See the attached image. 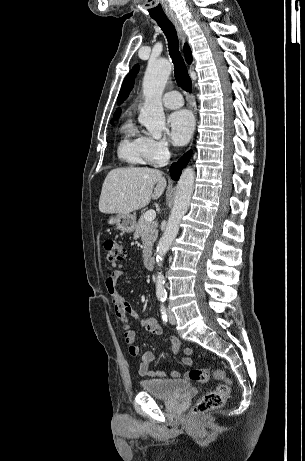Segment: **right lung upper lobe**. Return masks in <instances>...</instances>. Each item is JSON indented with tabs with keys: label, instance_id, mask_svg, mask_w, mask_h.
<instances>
[{
	"label": "right lung upper lobe",
	"instance_id": "cb5924a9",
	"mask_svg": "<svg viewBox=\"0 0 305 461\" xmlns=\"http://www.w3.org/2000/svg\"><path fill=\"white\" fill-rule=\"evenodd\" d=\"M184 54H185V58H186L187 63L190 64L192 62V54H191V50H190V48H189V46L187 44L184 45ZM120 113H121V110L117 109V111L114 113L113 120H117L119 118V116H120Z\"/></svg>",
	"mask_w": 305,
	"mask_h": 461
}]
</instances>
